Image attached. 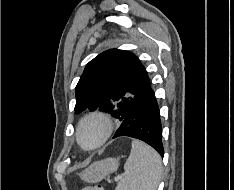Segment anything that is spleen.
Returning <instances> with one entry per match:
<instances>
[{"mask_svg":"<svg viewBox=\"0 0 234 190\" xmlns=\"http://www.w3.org/2000/svg\"><path fill=\"white\" fill-rule=\"evenodd\" d=\"M124 170L115 190H157L163 173L161 157L146 143L133 140Z\"/></svg>","mask_w":234,"mask_h":190,"instance_id":"3e777b00","label":"spleen"}]
</instances>
